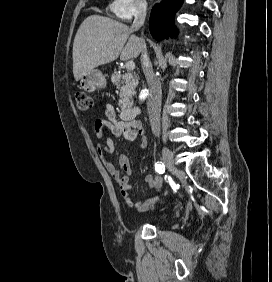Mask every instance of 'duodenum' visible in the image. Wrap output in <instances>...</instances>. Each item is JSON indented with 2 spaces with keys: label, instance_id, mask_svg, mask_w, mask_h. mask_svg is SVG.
Wrapping results in <instances>:
<instances>
[{
  "label": "duodenum",
  "instance_id": "obj_1",
  "mask_svg": "<svg viewBox=\"0 0 272 282\" xmlns=\"http://www.w3.org/2000/svg\"><path fill=\"white\" fill-rule=\"evenodd\" d=\"M140 114V108L135 105H127L124 110L121 112V117L123 120H133Z\"/></svg>",
  "mask_w": 272,
  "mask_h": 282
}]
</instances>
